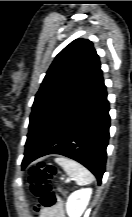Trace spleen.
Instances as JSON below:
<instances>
[{
  "label": "spleen",
  "instance_id": "3e777b00",
  "mask_svg": "<svg viewBox=\"0 0 132 217\" xmlns=\"http://www.w3.org/2000/svg\"><path fill=\"white\" fill-rule=\"evenodd\" d=\"M55 162L60 165L65 172L75 179L80 186L88 185L93 182V174L80 163L66 157H58Z\"/></svg>",
  "mask_w": 132,
  "mask_h": 217
}]
</instances>
